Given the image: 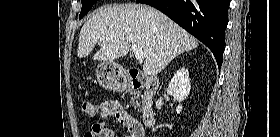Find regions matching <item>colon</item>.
<instances>
[{
  "instance_id": "1",
  "label": "colon",
  "mask_w": 280,
  "mask_h": 137,
  "mask_svg": "<svg viewBox=\"0 0 280 137\" xmlns=\"http://www.w3.org/2000/svg\"><path fill=\"white\" fill-rule=\"evenodd\" d=\"M81 109L90 118H95L99 114V105L94 100L82 101ZM130 137H143V132L139 127L132 126Z\"/></svg>"
}]
</instances>
